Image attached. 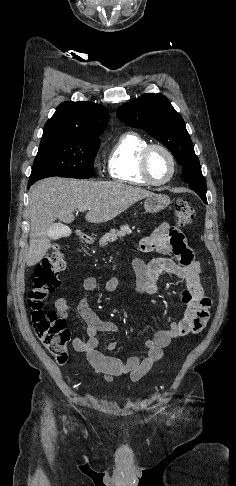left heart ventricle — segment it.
<instances>
[{
    "mask_svg": "<svg viewBox=\"0 0 236 486\" xmlns=\"http://www.w3.org/2000/svg\"><path fill=\"white\" fill-rule=\"evenodd\" d=\"M148 170L154 180L166 179L171 171V164L166 154L161 150L154 149L148 158Z\"/></svg>",
    "mask_w": 236,
    "mask_h": 486,
    "instance_id": "1",
    "label": "left heart ventricle"
}]
</instances>
